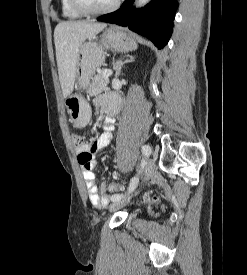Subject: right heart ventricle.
I'll use <instances>...</instances> for the list:
<instances>
[{"label":"right heart ventricle","instance_id":"1","mask_svg":"<svg viewBox=\"0 0 247 275\" xmlns=\"http://www.w3.org/2000/svg\"><path fill=\"white\" fill-rule=\"evenodd\" d=\"M62 13L66 18L76 19L80 18L81 14L76 12L69 4L68 0H61Z\"/></svg>","mask_w":247,"mask_h":275}]
</instances>
